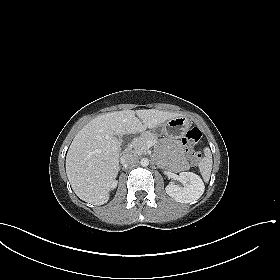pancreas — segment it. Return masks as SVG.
Listing matches in <instances>:
<instances>
[{"instance_id":"1","label":"pancreas","mask_w":280,"mask_h":280,"mask_svg":"<svg viewBox=\"0 0 280 280\" xmlns=\"http://www.w3.org/2000/svg\"><path fill=\"white\" fill-rule=\"evenodd\" d=\"M156 139H157L156 135L151 132L147 131L142 133L138 138H135L131 143L134 153L138 155L146 154L148 150L147 142L155 141Z\"/></svg>"}]
</instances>
